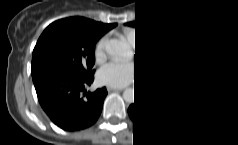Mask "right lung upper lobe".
<instances>
[{
	"mask_svg": "<svg viewBox=\"0 0 238 145\" xmlns=\"http://www.w3.org/2000/svg\"><path fill=\"white\" fill-rule=\"evenodd\" d=\"M70 18H74L80 21L85 22L89 27H91L95 32H97L100 35H104L106 32H108L109 30H111L112 28L116 27L117 24H103V23H99L90 19H86L83 17H70Z\"/></svg>",
	"mask_w": 238,
	"mask_h": 145,
	"instance_id": "1",
	"label": "right lung upper lobe"
}]
</instances>
